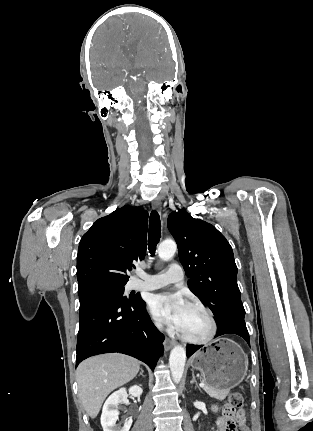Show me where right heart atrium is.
Wrapping results in <instances>:
<instances>
[{
  "instance_id": "d8ad5b80",
  "label": "right heart atrium",
  "mask_w": 313,
  "mask_h": 431,
  "mask_svg": "<svg viewBox=\"0 0 313 431\" xmlns=\"http://www.w3.org/2000/svg\"><path fill=\"white\" fill-rule=\"evenodd\" d=\"M154 325H155L158 329H161V328H162L161 323H160L159 321H157V320H154Z\"/></svg>"
}]
</instances>
